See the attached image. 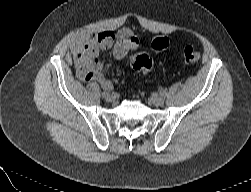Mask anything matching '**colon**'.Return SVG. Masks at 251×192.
Wrapping results in <instances>:
<instances>
[{"instance_id": "5ec220e1", "label": "colon", "mask_w": 251, "mask_h": 192, "mask_svg": "<svg viewBox=\"0 0 251 192\" xmlns=\"http://www.w3.org/2000/svg\"><path fill=\"white\" fill-rule=\"evenodd\" d=\"M169 46V40L166 37L157 36L151 42V47L155 51L166 50ZM201 52L192 46H186L183 49V60L187 64L197 63L201 59ZM130 64L133 69L144 74L151 71L153 62L147 54H136L131 57Z\"/></svg>"}]
</instances>
